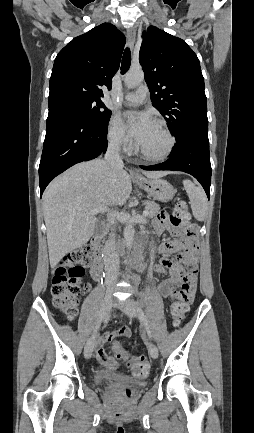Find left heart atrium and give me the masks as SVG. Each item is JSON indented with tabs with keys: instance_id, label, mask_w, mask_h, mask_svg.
Instances as JSON below:
<instances>
[{
	"instance_id": "39dd6f15",
	"label": "left heart atrium",
	"mask_w": 254,
	"mask_h": 433,
	"mask_svg": "<svg viewBox=\"0 0 254 433\" xmlns=\"http://www.w3.org/2000/svg\"><path fill=\"white\" fill-rule=\"evenodd\" d=\"M124 118L128 132L139 145L152 127L153 120L145 112L134 111L125 112Z\"/></svg>"
}]
</instances>
